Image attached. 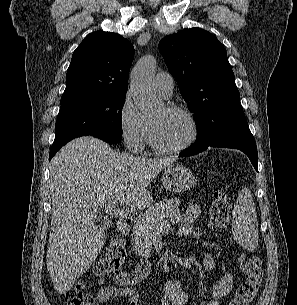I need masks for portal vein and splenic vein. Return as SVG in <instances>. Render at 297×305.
<instances>
[{
  "label": "portal vein and splenic vein",
  "mask_w": 297,
  "mask_h": 305,
  "mask_svg": "<svg viewBox=\"0 0 297 305\" xmlns=\"http://www.w3.org/2000/svg\"><path fill=\"white\" fill-rule=\"evenodd\" d=\"M105 211L108 214H110L112 216H116V217L128 218L130 216V213L128 210L117 208L115 205H109V206L105 207Z\"/></svg>",
  "instance_id": "18ae733b"
}]
</instances>
